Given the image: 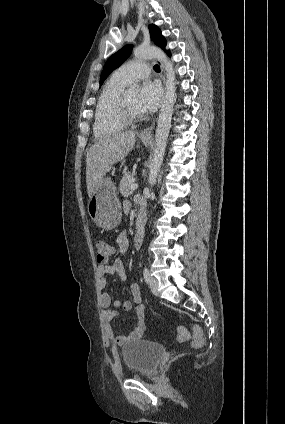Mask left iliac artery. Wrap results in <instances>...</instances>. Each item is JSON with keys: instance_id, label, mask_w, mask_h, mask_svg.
Returning a JSON list of instances; mask_svg holds the SVG:
<instances>
[{"instance_id": "44dca946", "label": "left iliac artery", "mask_w": 285, "mask_h": 424, "mask_svg": "<svg viewBox=\"0 0 285 424\" xmlns=\"http://www.w3.org/2000/svg\"><path fill=\"white\" fill-rule=\"evenodd\" d=\"M143 275H144V279H145L146 283H148L149 280H150V274H149V271L146 267L143 270Z\"/></svg>"}]
</instances>
